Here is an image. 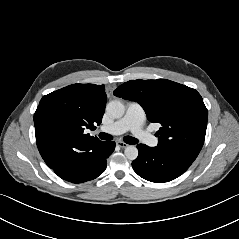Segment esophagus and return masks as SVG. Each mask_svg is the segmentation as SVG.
Segmentation results:
<instances>
[{
    "label": "esophagus",
    "instance_id": "esophagus-1",
    "mask_svg": "<svg viewBox=\"0 0 239 239\" xmlns=\"http://www.w3.org/2000/svg\"><path fill=\"white\" fill-rule=\"evenodd\" d=\"M116 145L121 147V148H126L128 146V144H126L125 142H122V141H118L116 143Z\"/></svg>",
    "mask_w": 239,
    "mask_h": 239
}]
</instances>
